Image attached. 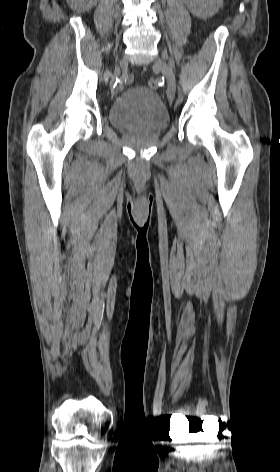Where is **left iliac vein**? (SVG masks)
Returning a JSON list of instances; mask_svg holds the SVG:
<instances>
[{"label": "left iliac vein", "mask_w": 280, "mask_h": 472, "mask_svg": "<svg viewBox=\"0 0 280 472\" xmlns=\"http://www.w3.org/2000/svg\"><path fill=\"white\" fill-rule=\"evenodd\" d=\"M154 67L159 69L165 76L168 84V99L172 101L174 99L176 90L175 75L172 68L167 65L166 62L163 61L161 58H156V60L154 61Z\"/></svg>", "instance_id": "1"}]
</instances>
